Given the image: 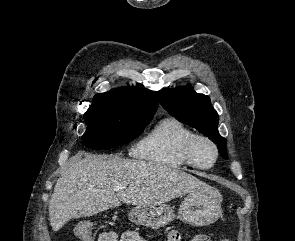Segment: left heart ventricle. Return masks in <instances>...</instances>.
Here are the masks:
<instances>
[{"mask_svg": "<svg viewBox=\"0 0 295 241\" xmlns=\"http://www.w3.org/2000/svg\"><path fill=\"white\" fill-rule=\"evenodd\" d=\"M194 156L201 165H209L213 161L214 152L208 143L199 141L195 146Z\"/></svg>", "mask_w": 295, "mask_h": 241, "instance_id": "obj_1", "label": "left heart ventricle"}]
</instances>
